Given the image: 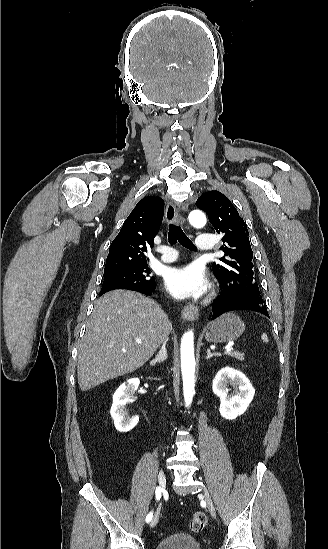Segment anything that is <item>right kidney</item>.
Here are the masks:
<instances>
[{
    "instance_id": "ca27d5eb",
    "label": "right kidney",
    "mask_w": 328,
    "mask_h": 549,
    "mask_svg": "<svg viewBox=\"0 0 328 549\" xmlns=\"http://www.w3.org/2000/svg\"><path fill=\"white\" fill-rule=\"evenodd\" d=\"M139 385V379H128L127 383H122L113 395V405L110 409V415L114 419L117 431H120V433H128V431L136 427L139 421V417H131V419L125 417L127 415L125 405L133 403L134 399H131V397H133Z\"/></svg>"
}]
</instances>
